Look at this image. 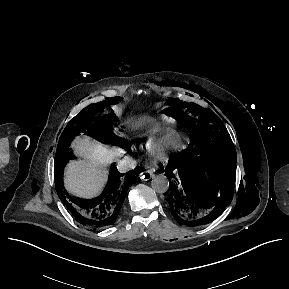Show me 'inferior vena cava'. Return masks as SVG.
Segmentation results:
<instances>
[{"mask_svg":"<svg viewBox=\"0 0 289 289\" xmlns=\"http://www.w3.org/2000/svg\"><path fill=\"white\" fill-rule=\"evenodd\" d=\"M136 164L134 162H128L124 165L119 166L121 172H127L128 170L134 169Z\"/></svg>","mask_w":289,"mask_h":289,"instance_id":"602c4592","label":"inferior vena cava"}]
</instances>
